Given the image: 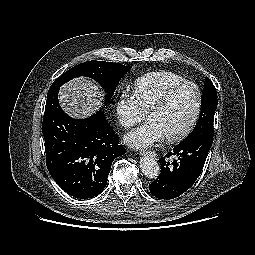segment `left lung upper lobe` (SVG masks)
Wrapping results in <instances>:
<instances>
[{
    "label": "left lung upper lobe",
    "mask_w": 255,
    "mask_h": 255,
    "mask_svg": "<svg viewBox=\"0 0 255 255\" xmlns=\"http://www.w3.org/2000/svg\"><path fill=\"white\" fill-rule=\"evenodd\" d=\"M216 108L217 92L212 81L206 77L199 121L197 122L193 132L190 133L183 141H188L199 135L213 136V122Z\"/></svg>",
    "instance_id": "left-lung-upper-lobe-1"
}]
</instances>
